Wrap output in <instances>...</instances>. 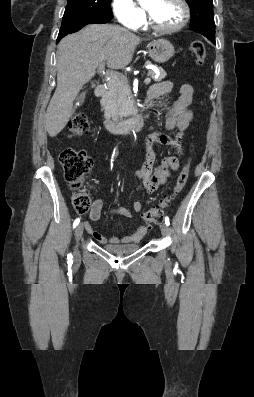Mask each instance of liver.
<instances>
[{"mask_svg":"<svg viewBox=\"0 0 254 397\" xmlns=\"http://www.w3.org/2000/svg\"><path fill=\"white\" fill-rule=\"evenodd\" d=\"M142 39L115 25L92 24L64 37L57 50V87L46 112V129L59 134L74 113L73 102L82 87L106 63L111 69L127 66Z\"/></svg>","mask_w":254,"mask_h":397,"instance_id":"obj_1","label":"liver"}]
</instances>
